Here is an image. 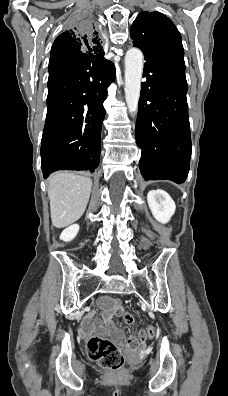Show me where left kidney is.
<instances>
[{"mask_svg": "<svg viewBox=\"0 0 228 396\" xmlns=\"http://www.w3.org/2000/svg\"><path fill=\"white\" fill-rule=\"evenodd\" d=\"M149 208L154 218L165 224L170 221L176 210L172 198L163 190H151L147 194Z\"/></svg>", "mask_w": 228, "mask_h": 396, "instance_id": "1", "label": "left kidney"}]
</instances>
